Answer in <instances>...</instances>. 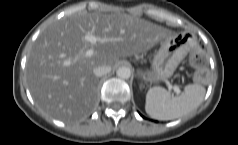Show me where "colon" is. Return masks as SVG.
I'll use <instances>...</instances> for the list:
<instances>
[{
  "label": "colon",
  "instance_id": "colon-1",
  "mask_svg": "<svg viewBox=\"0 0 238 145\" xmlns=\"http://www.w3.org/2000/svg\"><path fill=\"white\" fill-rule=\"evenodd\" d=\"M191 63L197 69L195 73V80L202 83L207 78V71L205 69L206 64V52L202 43L198 44V47L191 56Z\"/></svg>",
  "mask_w": 238,
  "mask_h": 145
}]
</instances>
